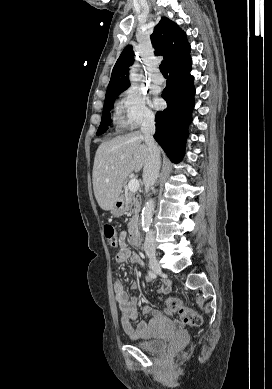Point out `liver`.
Masks as SVG:
<instances>
[{"mask_svg":"<svg viewBox=\"0 0 272 389\" xmlns=\"http://www.w3.org/2000/svg\"><path fill=\"white\" fill-rule=\"evenodd\" d=\"M148 146L143 133L134 131L105 141L98 147L93 166V190L100 208L111 210L125 179L145 165Z\"/></svg>","mask_w":272,"mask_h":389,"instance_id":"6515ba94","label":"liver"}]
</instances>
